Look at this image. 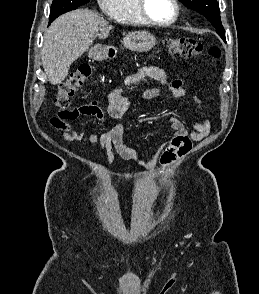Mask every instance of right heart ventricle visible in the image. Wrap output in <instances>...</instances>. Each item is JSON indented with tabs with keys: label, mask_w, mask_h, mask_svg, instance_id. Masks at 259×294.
Here are the masks:
<instances>
[{
	"label": "right heart ventricle",
	"mask_w": 259,
	"mask_h": 294,
	"mask_svg": "<svg viewBox=\"0 0 259 294\" xmlns=\"http://www.w3.org/2000/svg\"><path fill=\"white\" fill-rule=\"evenodd\" d=\"M111 17L123 24L143 25L145 22L140 17L137 9V0H116Z\"/></svg>",
	"instance_id": "e07e8e85"
}]
</instances>
